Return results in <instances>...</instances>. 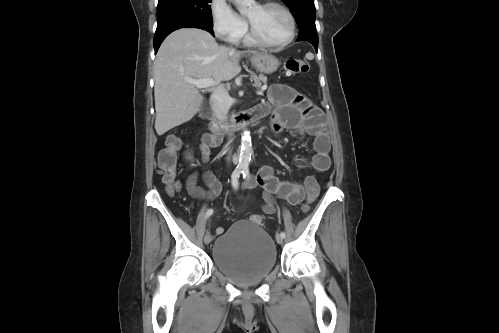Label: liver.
<instances>
[{
  "instance_id": "liver-1",
  "label": "liver",
  "mask_w": 499,
  "mask_h": 333,
  "mask_svg": "<svg viewBox=\"0 0 499 333\" xmlns=\"http://www.w3.org/2000/svg\"><path fill=\"white\" fill-rule=\"evenodd\" d=\"M241 55L242 52L231 47L219 46L201 29L182 28L171 33L160 46L154 62L157 134L161 136L190 121L199 111L203 95L185 79L229 81L241 71Z\"/></svg>"
}]
</instances>
